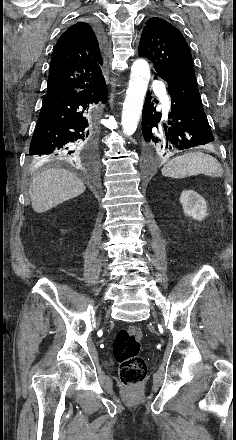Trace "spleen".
Listing matches in <instances>:
<instances>
[{
	"label": "spleen",
	"mask_w": 236,
	"mask_h": 440,
	"mask_svg": "<svg viewBox=\"0 0 236 440\" xmlns=\"http://www.w3.org/2000/svg\"><path fill=\"white\" fill-rule=\"evenodd\" d=\"M162 175L175 179H182L198 174L211 177H221L223 168L211 155L194 152L177 156L168 161L161 170Z\"/></svg>",
	"instance_id": "obj_1"
}]
</instances>
